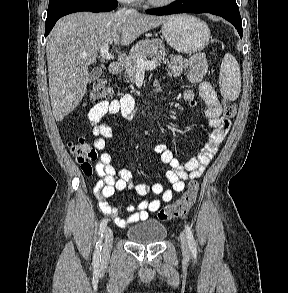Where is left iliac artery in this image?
I'll use <instances>...</instances> for the list:
<instances>
[{
    "label": "left iliac artery",
    "instance_id": "obj_1",
    "mask_svg": "<svg viewBox=\"0 0 288 293\" xmlns=\"http://www.w3.org/2000/svg\"><path fill=\"white\" fill-rule=\"evenodd\" d=\"M185 231H186V236H187V240H188L191 254L194 258H196V256H197L196 242L194 240V237H193V234H192V231H191V228L189 227V225L185 226Z\"/></svg>",
    "mask_w": 288,
    "mask_h": 293
}]
</instances>
